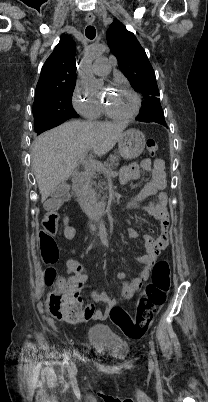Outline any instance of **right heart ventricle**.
<instances>
[{
    "mask_svg": "<svg viewBox=\"0 0 208 402\" xmlns=\"http://www.w3.org/2000/svg\"><path fill=\"white\" fill-rule=\"evenodd\" d=\"M98 123H107L111 120H115L114 117H112L111 115H109L102 107L99 113V116L97 118Z\"/></svg>",
    "mask_w": 208,
    "mask_h": 402,
    "instance_id": "e07e8e85",
    "label": "right heart ventricle"
}]
</instances>
